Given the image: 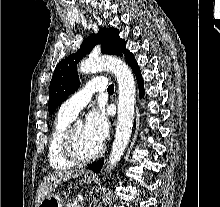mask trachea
Listing matches in <instances>:
<instances>
[{
    "instance_id": "3493384b",
    "label": "trachea",
    "mask_w": 220,
    "mask_h": 207,
    "mask_svg": "<svg viewBox=\"0 0 220 207\" xmlns=\"http://www.w3.org/2000/svg\"><path fill=\"white\" fill-rule=\"evenodd\" d=\"M107 91L108 92H114V85L113 84L109 85Z\"/></svg>"
}]
</instances>
